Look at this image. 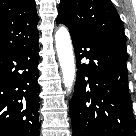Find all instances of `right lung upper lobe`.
<instances>
[{
  "mask_svg": "<svg viewBox=\"0 0 136 136\" xmlns=\"http://www.w3.org/2000/svg\"><path fill=\"white\" fill-rule=\"evenodd\" d=\"M38 20L34 0H0V54L37 38Z\"/></svg>",
  "mask_w": 136,
  "mask_h": 136,
  "instance_id": "1",
  "label": "right lung upper lobe"
}]
</instances>
